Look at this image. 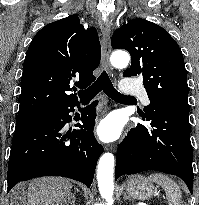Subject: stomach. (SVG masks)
Here are the masks:
<instances>
[{
  "instance_id": "1",
  "label": "stomach",
  "mask_w": 199,
  "mask_h": 205,
  "mask_svg": "<svg viewBox=\"0 0 199 205\" xmlns=\"http://www.w3.org/2000/svg\"><path fill=\"white\" fill-rule=\"evenodd\" d=\"M125 188L127 193L137 200H147L156 194V187L152 181L142 175L131 177Z\"/></svg>"
}]
</instances>
